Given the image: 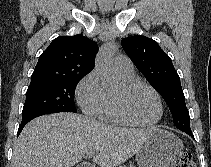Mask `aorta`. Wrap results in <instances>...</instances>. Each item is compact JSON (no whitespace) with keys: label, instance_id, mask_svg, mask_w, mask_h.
<instances>
[{"label":"aorta","instance_id":"aorta-1","mask_svg":"<svg viewBox=\"0 0 211 167\" xmlns=\"http://www.w3.org/2000/svg\"><path fill=\"white\" fill-rule=\"evenodd\" d=\"M115 50L111 43L103 45L95 61V68L100 73L102 85L106 90H111L117 83L111 64Z\"/></svg>","mask_w":211,"mask_h":167}]
</instances>
